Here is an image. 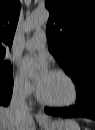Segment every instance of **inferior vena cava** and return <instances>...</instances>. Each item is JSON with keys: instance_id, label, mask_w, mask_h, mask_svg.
<instances>
[{"instance_id": "1", "label": "inferior vena cava", "mask_w": 95, "mask_h": 130, "mask_svg": "<svg viewBox=\"0 0 95 130\" xmlns=\"http://www.w3.org/2000/svg\"><path fill=\"white\" fill-rule=\"evenodd\" d=\"M9 109L18 120H20L22 116L29 113L28 106L25 101L24 88L19 87L14 89Z\"/></svg>"}]
</instances>
